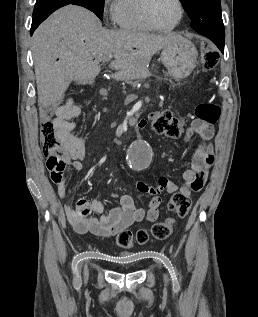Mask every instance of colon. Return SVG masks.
Listing matches in <instances>:
<instances>
[{
  "instance_id": "5ec220e1",
  "label": "colon",
  "mask_w": 258,
  "mask_h": 317,
  "mask_svg": "<svg viewBox=\"0 0 258 317\" xmlns=\"http://www.w3.org/2000/svg\"><path fill=\"white\" fill-rule=\"evenodd\" d=\"M203 64L205 68H213L217 64V55L212 50H206L203 54ZM197 118L214 124L220 116V108L213 103H202L196 108ZM153 129L160 134L171 138H177L182 133L181 120L170 110H160L151 115ZM41 143L46 154H63L64 144L57 125V115L47 113L43 117V128L41 130ZM191 208V199L188 195L174 193L169 200L168 209L179 218H185ZM174 219L166 218L155 223L150 231L141 229L136 233L130 230H123L117 234L115 242L119 247L130 248L134 244H145L150 236L157 240L168 238L174 229Z\"/></svg>"
}]
</instances>
